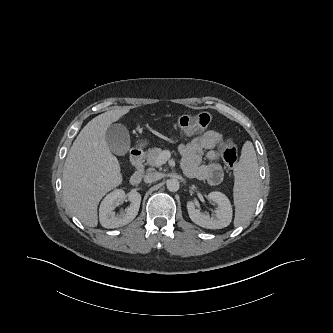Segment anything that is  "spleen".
I'll list each match as a JSON object with an SVG mask.
<instances>
[{"mask_svg": "<svg viewBox=\"0 0 333 333\" xmlns=\"http://www.w3.org/2000/svg\"><path fill=\"white\" fill-rule=\"evenodd\" d=\"M234 176V226L238 227L251 218L259 197V166L250 141H246L242 147L240 160L234 167Z\"/></svg>", "mask_w": 333, "mask_h": 333, "instance_id": "spleen-1", "label": "spleen"}]
</instances>
